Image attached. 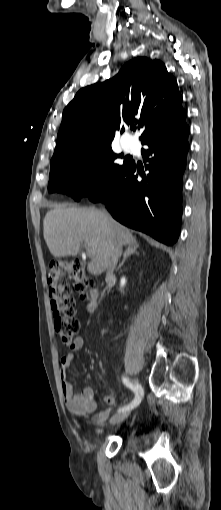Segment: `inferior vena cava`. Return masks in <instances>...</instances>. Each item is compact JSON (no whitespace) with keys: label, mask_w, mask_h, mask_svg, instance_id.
I'll list each match as a JSON object with an SVG mask.
<instances>
[{"label":"inferior vena cava","mask_w":221,"mask_h":510,"mask_svg":"<svg viewBox=\"0 0 221 510\" xmlns=\"http://www.w3.org/2000/svg\"><path fill=\"white\" fill-rule=\"evenodd\" d=\"M122 253V245L116 240L113 239L110 242L109 251H108V268L106 277L109 279L114 278V269L117 265L118 259Z\"/></svg>","instance_id":"inferior-vena-cava-1"}]
</instances>
